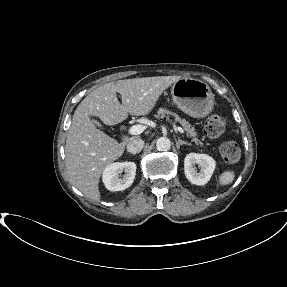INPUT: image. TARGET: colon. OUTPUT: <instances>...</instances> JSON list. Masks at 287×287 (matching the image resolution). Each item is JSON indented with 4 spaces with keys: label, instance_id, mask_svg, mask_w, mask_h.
<instances>
[{
    "label": "colon",
    "instance_id": "1",
    "mask_svg": "<svg viewBox=\"0 0 287 287\" xmlns=\"http://www.w3.org/2000/svg\"><path fill=\"white\" fill-rule=\"evenodd\" d=\"M227 118L221 114L209 117L204 124V133L208 138L216 139L220 137L226 128ZM220 154L224 161L236 163L241 157V150L234 141H227L220 147Z\"/></svg>",
    "mask_w": 287,
    "mask_h": 287
}]
</instances>
